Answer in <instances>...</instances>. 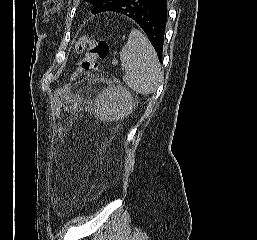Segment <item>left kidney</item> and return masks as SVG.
Segmentation results:
<instances>
[{"label": "left kidney", "instance_id": "5707ae66", "mask_svg": "<svg viewBox=\"0 0 257 240\" xmlns=\"http://www.w3.org/2000/svg\"><path fill=\"white\" fill-rule=\"evenodd\" d=\"M134 101L131 94L121 87L106 90L98 100L100 118L119 120L127 116Z\"/></svg>", "mask_w": 257, "mask_h": 240}]
</instances>
